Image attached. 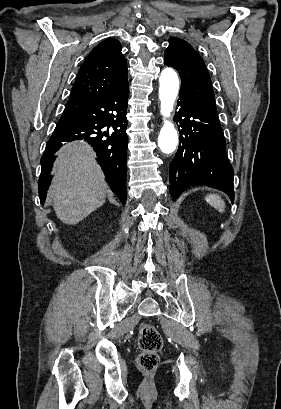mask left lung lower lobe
Returning a JSON list of instances; mask_svg holds the SVG:
<instances>
[{"mask_svg":"<svg viewBox=\"0 0 281 409\" xmlns=\"http://www.w3.org/2000/svg\"><path fill=\"white\" fill-rule=\"evenodd\" d=\"M176 120L179 148L170 163V194L176 200L189 186L207 185L220 189L234 200L233 168L225 153V138L217 109L180 92ZM183 135V136H182Z\"/></svg>","mask_w":281,"mask_h":409,"instance_id":"left-lung-lower-lobe-1","label":"left lung lower lobe"}]
</instances>
